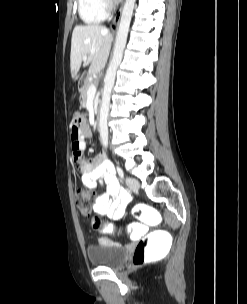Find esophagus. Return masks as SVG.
<instances>
[{"instance_id": "esophagus-1", "label": "esophagus", "mask_w": 247, "mask_h": 304, "mask_svg": "<svg viewBox=\"0 0 247 304\" xmlns=\"http://www.w3.org/2000/svg\"><path fill=\"white\" fill-rule=\"evenodd\" d=\"M122 9H123V4L121 5V7L119 8L118 12L115 14V16L112 19L111 22V31L113 33H116L117 29H118V24H119V20L122 14Z\"/></svg>"}]
</instances>
